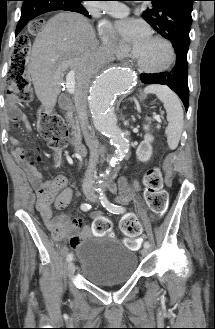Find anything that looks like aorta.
Wrapping results in <instances>:
<instances>
[{
	"instance_id": "obj_1",
	"label": "aorta",
	"mask_w": 215,
	"mask_h": 329,
	"mask_svg": "<svg viewBox=\"0 0 215 329\" xmlns=\"http://www.w3.org/2000/svg\"><path fill=\"white\" fill-rule=\"evenodd\" d=\"M136 82L134 73L123 67H109L99 74L89 90V107L95 128L116 147V158H123L129 142L117 125L114 113L116 96L131 89Z\"/></svg>"
}]
</instances>
